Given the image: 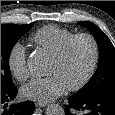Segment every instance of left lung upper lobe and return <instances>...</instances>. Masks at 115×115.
<instances>
[{"mask_svg":"<svg viewBox=\"0 0 115 115\" xmlns=\"http://www.w3.org/2000/svg\"><path fill=\"white\" fill-rule=\"evenodd\" d=\"M94 35L99 47V63L89 82L77 91L73 97L86 99L106 93L115 94V49L107 35L91 22H80Z\"/></svg>","mask_w":115,"mask_h":115,"instance_id":"1","label":"left lung upper lobe"}]
</instances>
